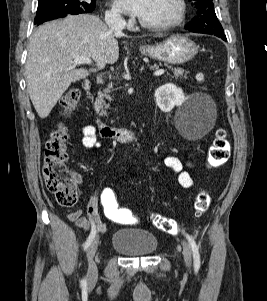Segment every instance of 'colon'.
<instances>
[{
    "label": "colon",
    "mask_w": 267,
    "mask_h": 301,
    "mask_svg": "<svg viewBox=\"0 0 267 301\" xmlns=\"http://www.w3.org/2000/svg\"><path fill=\"white\" fill-rule=\"evenodd\" d=\"M198 79H202L201 75H198ZM79 99L80 93L77 89L67 90L61 99L63 112L70 113L78 104ZM67 141V129L62 124L57 125L46 142L43 176L47 189L55 195L57 202L63 206H72L78 198V187L75 178L64 168L69 159ZM230 150L231 146L226 132L219 129L208 151V167H219L226 163L230 156ZM98 202L103 215L108 220L115 223L133 221V214L120 205L114 189L105 188L101 192ZM210 203L211 198L208 192L200 190L194 202L197 215L204 214ZM150 220L156 228L164 232L171 234L178 232L179 226L172 219L154 213Z\"/></svg>",
    "instance_id": "obj_1"
}]
</instances>
